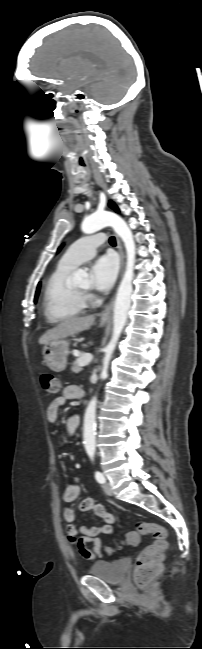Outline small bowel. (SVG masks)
Here are the masks:
<instances>
[{"mask_svg":"<svg viewBox=\"0 0 202 649\" xmlns=\"http://www.w3.org/2000/svg\"><path fill=\"white\" fill-rule=\"evenodd\" d=\"M83 389L78 385H67L62 396L54 399L46 410L47 420L54 423L59 414L60 408L68 400L80 399L83 396ZM79 416L77 414L71 415L66 421V436H73L79 426ZM63 444V442L61 443ZM80 494V484L78 479H74L63 492V500L65 502H74ZM81 511H92L96 516L103 519V523L96 526H81L75 524L76 514L73 509L66 508L63 512L64 520L67 522L66 532L70 542L77 547L78 552L82 559L93 561L97 557L102 556V542L99 535L106 534L112 535L114 532V516L106 511L103 505L96 503L93 499H84L80 505ZM108 517H112L110 520ZM91 544L92 548L88 545Z\"/></svg>","mask_w":202,"mask_h":649,"instance_id":"obj_1","label":"small bowel"}]
</instances>
